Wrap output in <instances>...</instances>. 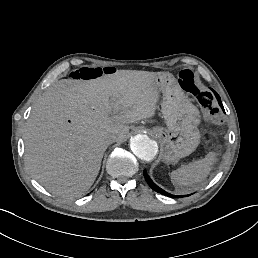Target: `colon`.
I'll return each mask as SVG.
<instances>
[{
  "label": "colon",
  "instance_id": "obj_1",
  "mask_svg": "<svg viewBox=\"0 0 258 258\" xmlns=\"http://www.w3.org/2000/svg\"><path fill=\"white\" fill-rule=\"evenodd\" d=\"M116 72L117 69L113 67H82L74 70L70 76L74 80L91 81ZM179 79L183 88L198 101L201 107L212 113L215 112L212 93L201 87L196 74L192 70H183Z\"/></svg>",
  "mask_w": 258,
  "mask_h": 258
}]
</instances>
